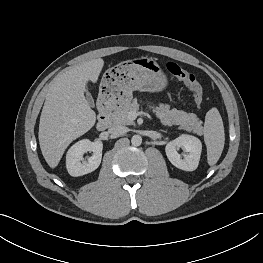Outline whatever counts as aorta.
<instances>
[{
    "label": "aorta",
    "mask_w": 263,
    "mask_h": 263,
    "mask_svg": "<svg viewBox=\"0 0 263 263\" xmlns=\"http://www.w3.org/2000/svg\"><path fill=\"white\" fill-rule=\"evenodd\" d=\"M131 143L133 146H140L142 143V137L140 135H133L131 138Z\"/></svg>",
    "instance_id": "762f6f07"
}]
</instances>
